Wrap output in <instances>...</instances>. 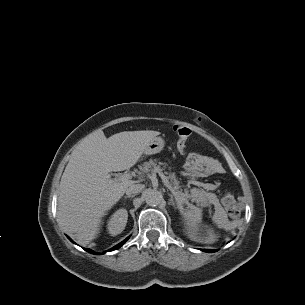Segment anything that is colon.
Segmentation results:
<instances>
[{
    "mask_svg": "<svg viewBox=\"0 0 305 305\" xmlns=\"http://www.w3.org/2000/svg\"><path fill=\"white\" fill-rule=\"evenodd\" d=\"M173 131L178 137V148L185 149L186 141L191 135V130L184 126H174ZM222 204L230 217H236L240 211L239 203L232 193H225L222 197Z\"/></svg>",
    "mask_w": 305,
    "mask_h": 305,
    "instance_id": "colon-1",
    "label": "colon"
}]
</instances>
